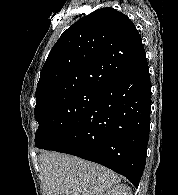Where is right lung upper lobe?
<instances>
[{
	"label": "right lung upper lobe",
	"instance_id": "right-lung-upper-lobe-1",
	"mask_svg": "<svg viewBox=\"0 0 178 195\" xmlns=\"http://www.w3.org/2000/svg\"><path fill=\"white\" fill-rule=\"evenodd\" d=\"M147 65L133 22L113 8H101L63 32L51 49L36 88V106L76 90H99Z\"/></svg>",
	"mask_w": 178,
	"mask_h": 195
}]
</instances>
